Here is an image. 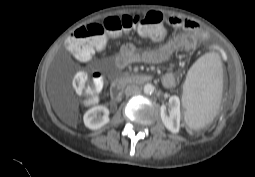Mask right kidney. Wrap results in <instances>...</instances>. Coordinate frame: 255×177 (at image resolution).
I'll return each mask as SVG.
<instances>
[{
	"mask_svg": "<svg viewBox=\"0 0 255 177\" xmlns=\"http://www.w3.org/2000/svg\"><path fill=\"white\" fill-rule=\"evenodd\" d=\"M84 124L91 130H97L109 122V110L98 105L89 109L83 117Z\"/></svg>",
	"mask_w": 255,
	"mask_h": 177,
	"instance_id": "ca27d5eb",
	"label": "right kidney"
}]
</instances>
